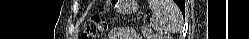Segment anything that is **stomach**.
I'll return each mask as SVG.
<instances>
[{
	"label": "stomach",
	"instance_id": "stomach-1",
	"mask_svg": "<svg viewBox=\"0 0 249 39\" xmlns=\"http://www.w3.org/2000/svg\"><path fill=\"white\" fill-rule=\"evenodd\" d=\"M137 10V7L134 5L133 0H121L119 11L124 14H131L132 12H135Z\"/></svg>",
	"mask_w": 249,
	"mask_h": 39
}]
</instances>
